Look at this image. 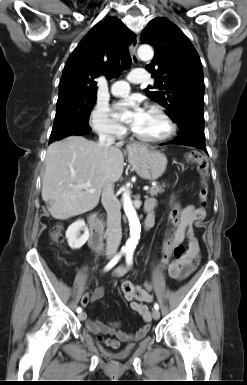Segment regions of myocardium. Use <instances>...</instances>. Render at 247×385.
Instances as JSON below:
<instances>
[{
    "mask_svg": "<svg viewBox=\"0 0 247 385\" xmlns=\"http://www.w3.org/2000/svg\"><path fill=\"white\" fill-rule=\"evenodd\" d=\"M147 110L158 113L165 120V122L168 125L167 133L161 137L150 138V137L142 136V135L136 133L132 129V131H131L132 135L136 139H138L142 142H146V143H162V142L170 140L175 135V133L177 131V125L174 122V120L172 119V117L166 112V110L162 106L157 105V104H152V105L147 106Z\"/></svg>",
    "mask_w": 247,
    "mask_h": 385,
    "instance_id": "obj_1",
    "label": "myocardium"
}]
</instances>
